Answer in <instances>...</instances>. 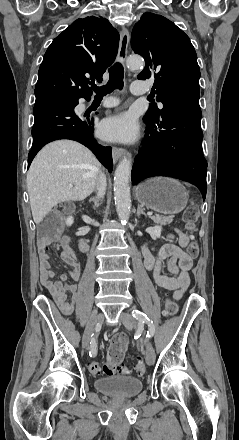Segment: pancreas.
I'll return each mask as SVG.
<instances>
[{
  "label": "pancreas",
  "instance_id": "cf45deb5",
  "mask_svg": "<svg viewBox=\"0 0 239 440\" xmlns=\"http://www.w3.org/2000/svg\"><path fill=\"white\" fill-rule=\"evenodd\" d=\"M150 218L154 224H158V226H167V224L173 222L174 216H150Z\"/></svg>",
  "mask_w": 239,
  "mask_h": 440
}]
</instances>
